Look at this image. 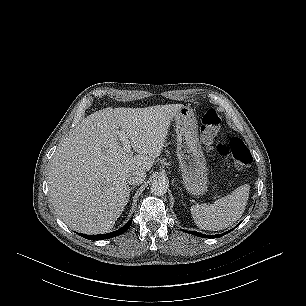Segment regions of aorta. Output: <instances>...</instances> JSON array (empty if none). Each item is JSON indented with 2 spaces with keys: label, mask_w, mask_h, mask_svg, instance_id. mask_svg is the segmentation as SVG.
Instances as JSON below:
<instances>
[{
  "label": "aorta",
  "mask_w": 306,
  "mask_h": 306,
  "mask_svg": "<svg viewBox=\"0 0 306 306\" xmlns=\"http://www.w3.org/2000/svg\"><path fill=\"white\" fill-rule=\"evenodd\" d=\"M168 185L162 179H156L151 184V192L155 195L161 196L167 192Z\"/></svg>",
  "instance_id": "1"
}]
</instances>
